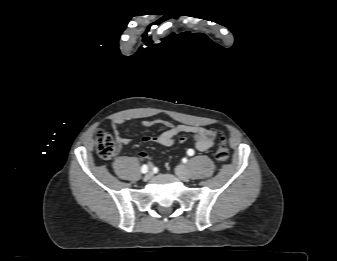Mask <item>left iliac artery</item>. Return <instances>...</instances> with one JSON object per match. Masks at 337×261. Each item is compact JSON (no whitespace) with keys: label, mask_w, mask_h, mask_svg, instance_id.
<instances>
[{"label":"left iliac artery","mask_w":337,"mask_h":261,"mask_svg":"<svg viewBox=\"0 0 337 261\" xmlns=\"http://www.w3.org/2000/svg\"><path fill=\"white\" fill-rule=\"evenodd\" d=\"M187 154H188L189 156L194 155V150H193V149H188Z\"/></svg>","instance_id":"1"}]
</instances>
